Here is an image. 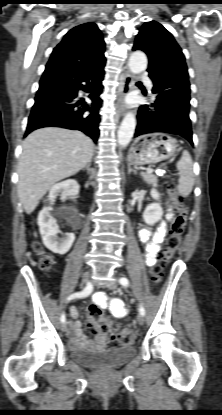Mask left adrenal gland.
<instances>
[{
    "instance_id": "1",
    "label": "left adrenal gland",
    "mask_w": 222,
    "mask_h": 415,
    "mask_svg": "<svg viewBox=\"0 0 222 415\" xmlns=\"http://www.w3.org/2000/svg\"><path fill=\"white\" fill-rule=\"evenodd\" d=\"M131 172H133L134 174H136V170H134L130 164H128V174H130Z\"/></svg>"
}]
</instances>
